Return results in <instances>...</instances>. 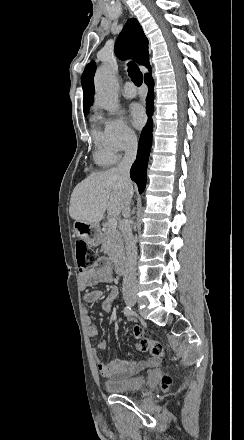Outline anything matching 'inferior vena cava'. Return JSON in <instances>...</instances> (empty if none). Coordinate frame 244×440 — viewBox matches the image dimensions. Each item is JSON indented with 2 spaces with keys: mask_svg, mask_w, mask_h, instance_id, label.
<instances>
[{
  "mask_svg": "<svg viewBox=\"0 0 244 440\" xmlns=\"http://www.w3.org/2000/svg\"><path fill=\"white\" fill-rule=\"evenodd\" d=\"M137 138L133 136L129 140L128 148L125 152V156L117 166L119 174H121L122 182L126 190L131 188V180L129 178V170L136 158L137 154ZM130 204L131 198H127L125 206L122 210L123 218H126L125 224L122 226V236L125 240L126 248V262L123 278V296H130V294H137V280H136V264H137V248L134 236L132 234V228L129 220L130 218Z\"/></svg>",
  "mask_w": 244,
  "mask_h": 440,
  "instance_id": "1",
  "label": "inferior vena cava"
}]
</instances>
